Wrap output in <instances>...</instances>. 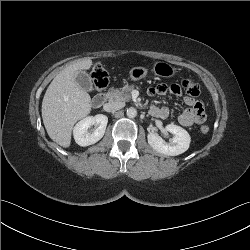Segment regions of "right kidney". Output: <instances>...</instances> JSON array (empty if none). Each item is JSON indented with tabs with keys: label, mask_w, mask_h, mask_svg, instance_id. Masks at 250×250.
Returning a JSON list of instances; mask_svg holds the SVG:
<instances>
[{
	"label": "right kidney",
	"mask_w": 250,
	"mask_h": 250,
	"mask_svg": "<svg viewBox=\"0 0 250 250\" xmlns=\"http://www.w3.org/2000/svg\"><path fill=\"white\" fill-rule=\"evenodd\" d=\"M107 123L108 118L103 114L83 118L73 129L76 143L83 147L95 144L104 136ZM93 125L95 129L89 131V128Z\"/></svg>",
	"instance_id": "obj_1"
}]
</instances>
